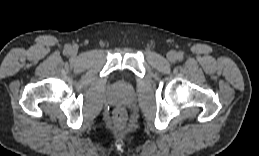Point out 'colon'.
Instances as JSON below:
<instances>
[{
    "mask_svg": "<svg viewBox=\"0 0 259 156\" xmlns=\"http://www.w3.org/2000/svg\"><path fill=\"white\" fill-rule=\"evenodd\" d=\"M114 122L119 129H125L127 124L126 113L122 109H117L114 113Z\"/></svg>",
    "mask_w": 259,
    "mask_h": 156,
    "instance_id": "colon-1",
    "label": "colon"
}]
</instances>
